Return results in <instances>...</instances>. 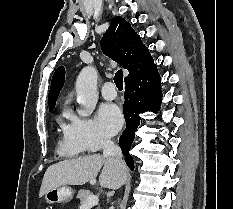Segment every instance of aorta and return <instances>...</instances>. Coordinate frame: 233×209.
Returning <instances> with one entry per match:
<instances>
[{
  "label": "aorta",
  "instance_id": "obj_1",
  "mask_svg": "<svg viewBox=\"0 0 233 209\" xmlns=\"http://www.w3.org/2000/svg\"><path fill=\"white\" fill-rule=\"evenodd\" d=\"M77 110L80 116H89L95 109L98 101L97 70L92 66L84 67L76 80Z\"/></svg>",
  "mask_w": 233,
  "mask_h": 209
}]
</instances>
